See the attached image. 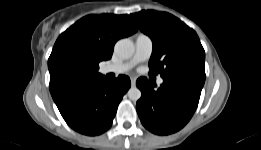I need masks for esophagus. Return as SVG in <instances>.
<instances>
[{
    "instance_id": "34e87169",
    "label": "esophagus",
    "mask_w": 261,
    "mask_h": 150,
    "mask_svg": "<svg viewBox=\"0 0 261 150\" xmlns=\"http://www.w3.org/2000/svg\"><path fill=\"white\" fill-rule=\"evenodd\" d=\"M131 85L133 87L136 85V79L135 78H131Z\"/></svg>"
}]
</instances>
